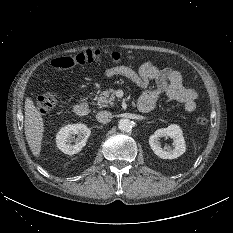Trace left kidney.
<instances>
[{"instance_id": "5707ae66", "label": "left kidney", "mask_w": 233, "mask_h": 233, "mask_svg": "<svg viewBox=\"0 0 233 233\" xmlns=\"http://www.w3.org/2000/svg\"><path fill=\"white\" fill-rule=\"evenodd\" d=\"M170 137L174 142V148L161 147L160 139ZM149 145L153 152L162 159H175L180 157L186 151V144L181 128L178 125L171 124L167 128L158 129L149 138Z\"/></svg>"}]
</instances>
